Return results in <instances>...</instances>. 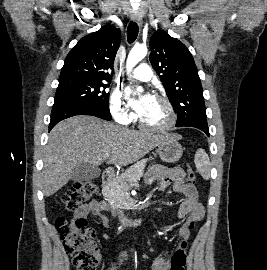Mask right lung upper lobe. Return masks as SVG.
<instances>
[{"label":"right lung upper lobe","mask_w":267,"mask_h":270,"mask_svg":"<svg viewBox=\"0 0 267 270\" xmlns=\"http://www.w3.org/2000/svg\"><path fill=\"white\" fill-rule=\"evenodd\" d=\"M120 45V31L111 25L88 34L68 53L59 79L85 78L110 80L108 69H113Z\"/></svg>","instance_id":"right-lung-upper-lobe-1"}]
</instances>
